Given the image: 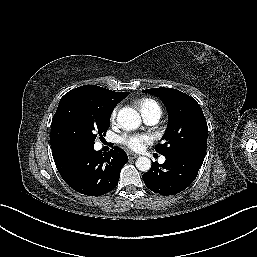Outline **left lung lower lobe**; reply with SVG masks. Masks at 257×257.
I'll return each instance as SVG.
<instances>
[{
	"mask_svg": "<svg viewBox=\"0 0 257 257\" xmlns=\"http://www.w3.org/2000/svg\"><path fill=\"white\" fill-rule=\"evenodd\" d=\"M163 164L154 163L142 175L147 188L164 196L186 189L198 175L203 160L188 155H164Z\"/></svg>",
	"mask_w": 257,
	"mask_h": 257,
	"instance_id": "1",
	"label": "left lung lower lobe"
}]
</instances>
